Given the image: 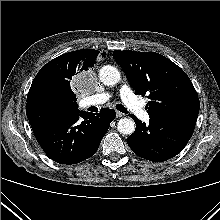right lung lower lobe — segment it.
Here are the masks:
<instances>
[{
  "instance_id": "right-lung-lower-lobe-1",
  "label": "right lung lower lobe",
  "mask_w": 220,
  "mask_h": 220,
  "mask_svg": "<svg viewBox=\"0 0 220 220\" xmlns=\"http://www.w3.org/2000/svg\"><path fill=\"white\" fill-rule=\"evenodd\" d=\"M26 114L43 151L55 162L68 165L93 156L116 117L113 109L93 114L40 102H27Z\"/></svg>"
}]
</instances>
